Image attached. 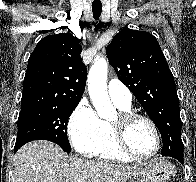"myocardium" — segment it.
<instances>
[{"mask_svg": "<svg viewBox=\"0 0 196 182\" xmlns=\"http://www.w3.org/2000/svg\"><path fill=\"white\" fill-rule=\"evenodd\" d=\"M136 120H144L147 122L154 131L156 138V146L152 153L148 155H140L135 153L128 145L126 140V132L131 123ZM111 135L116 148L125 156L135 160H147L156 156L162 144L160 130L157 124L149 116L137 113L131 110L120 111L115 120L110 123Z\"/></svg>", "mask_w": 196, "mask_h": 182, "instance_id": "obj_1", "label": "myocardium"}]
</instances>
